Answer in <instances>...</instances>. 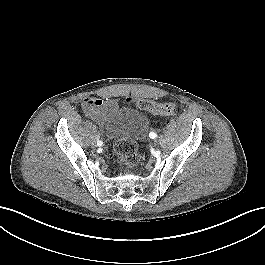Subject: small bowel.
I'll return each mask as SVG.
<instances>
[{
    "mask_svg": "<svg viewBox=\"0 0 265 265\" xmlns=\"http://www.w3.org/2000/svg\"><path fill=\"white\" fill-rule=\"evenodd\" d=\"M115 105L112 100H103L98 97H88L82 102L85 114L99 125L103 124L105 113Z\"/></svg>",
    "mask_w": 265,
    "mask_h": 265,
    "instance_id": "1",
    "label": "small bowel"
}]
</instances>
